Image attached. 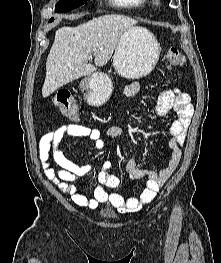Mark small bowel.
<instances>
[{"instance_id":"obj_1","label":"small bowel","mask_w":221,"mask_h":263,"mask_svg":"<svg viewBox=\"0 0 221 263\" xmlns=\"http://www.w3.org/2000/svg\"><path fill=\"white\" fill-rule=\"evenodd\" d=\"M140 90L138 82H131L125 87L126 96H134ZM157 111L161 116H167L171 111L175 113L169 128V150L166 154L168 163L165 168L159 172L151 169H141L137 161L131 158L126 163V170L131 184L140 178H147L145 188L138 197L125 198L119 193L110 192L108 189H114L120 186V180L113 175L108 169L111 162L106 160L103 164L104 169L98 174L99 185L93 191V198H87L74 184V181L86 176L91 171L90 165H80L68 159L64 152L59 149L66 136L86 137L93 142L96 149H102L105 146L103 136L100 130L88 128L79 124H69L45 134L39 143V158L43 162L44 173L57 188L68 194L72 201L81 207L90 209L97 208L100 204H109L112 208L121 213L136 212L144 204L154 200L158 190L171 177L179 165L182 151L181 148L185 142L193 109L190 104V96L180 88L173 90H164L159 95ZM124 133L120 126L110 127L105 135L110 138L119 137ZM60 167L56 170L50 163L49 159Z\"/></svg>"}]
</instances>
